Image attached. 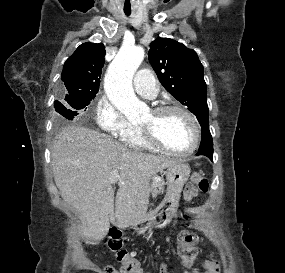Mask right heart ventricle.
Wrapping results in <instances>:
<instances>
[{
	"instance_id": "right-heart-ventricle-1",
	"label": "right heart ventricle",
	"mask_w": 285,
	"mask_h": 273,
	"mask_svg": "<svg viewBox=\"0 0 285 273\" xmlns=\"http://www.w3.org/2000/svg\"><path fill=\"white\" fill-rule=\"evenodd\" d=\"M121 140L128 145L129 147L133 149H138V150H155L151 145H149L142 137L141 131L139 127H135V129L123 136Z\"/></svg>"
}]
</instances>
